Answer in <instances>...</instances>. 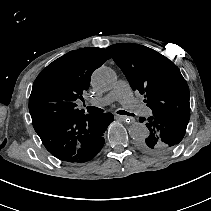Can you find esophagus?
<instances>
[{
	"mask_svg": "<svg viewBox=\"0 0 211 211\" xmlns=\"http://www.w3.org/2000/svg\"><path fill=\"white\" fill-rule=\"evenodd\" d=\"M116 118L120 120H124L125 124H130L131 122L135 121L133 117H128L126 115H116Z\"/></svg>",
	"mask_w": 211,
	"mask_h": 211,
	"instance_id": "esophagus-1",
	"label": "esophagus"
}]
</instances>
